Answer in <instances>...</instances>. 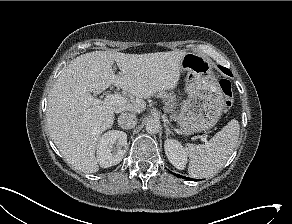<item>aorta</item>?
I'll list each match as a JSON object with an SVG mask.
<instances>
[{
    "instance_id": "aorta-1",
    "label": "aorta",
    "mask_w": 292,
    "mask_h": 224,
    "mask_svg": "<svg viewBox=\"0 0 292 224\" xmlns=\"http://www.w3.org/2000/svg\"><path fill=\"white\" fill-rule=\"evenodd\" d=\"M160 124L157 120L155 119H149L146 122V131L150 134H155L159 131Z\"/></svg>"
}]
</instances>
